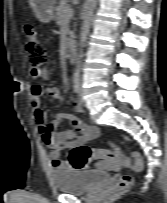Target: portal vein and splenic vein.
Returning a JSON list of instances; mask_svg holds the SVG:
<instances>
[{
    "mask_svg": "<svg viewBox=\"0 0 167 203\" xmlns=\"http://www.w3.org/2000/svg\"><path fill=\"white\" fill-rule=\"evenodd\" d=\"M73 15V9L71 7L66 9V17H71Z\"/></svg>",
    "mask_w": 167,
    "mask_h": 203,
    "instance_id": "portal-vein-and-splenic-vein-1",
    "label": "portal vein and splenic vein"
}]
</instances>
